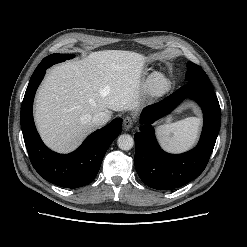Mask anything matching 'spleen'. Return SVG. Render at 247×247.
Instances as JSON below:
<instances>
[{"label":"spleen","instance_id":"spleen-1","mask_svg":"<svg viewBox=\"0 0 247 247\" xmlns=\"http://www.w3.org/2000/svg\"><path fill=\"white\" fill-rule=\"evenodd\" d=\"M200 119L188 117L157 128V136L162 147L170 152H182L194 145L198 137Z\"/></svg>","mask_w":247,"mask_h":247}]
</instances>
